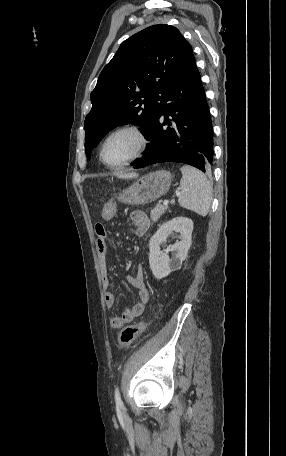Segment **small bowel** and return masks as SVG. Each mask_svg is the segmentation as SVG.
<instances>
[{"label":"small bowel","mask_w":286,"mask_h":456,"mask_svg":"<svg viewBox=\"0 0 286 456\" xmlns=\"http://www.w3.org/2000/svg\"><path fill=\"white\" fill-rule=\"evenodd\" d=\"M115 214L116 206L113 204H107L103 207L101 215L104 220H111ZM129 218L136 235H144L149 229L150 221L145 213L141 211H133L130 213ZM95 231L97 235L96 250L100 261L101 280L104 288L108 289L111 285V278L106 265L107 231L101 223L96 225ZM127 281L138 289L141 301L126 309L121 314L115 315L111 318L110 326L114 329H119L126 323H129L133 319L141 316L145 310V305L149 297L143 265H137L134 271L127 276ZM115 301V295L112 292L107 291L105 293V303L107 307H113L115 305Z\"/></svg>","instance_id":"1"}]
</instances>
